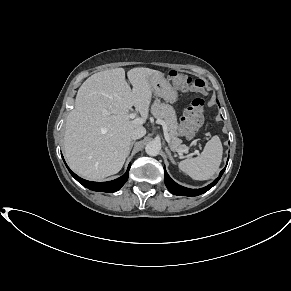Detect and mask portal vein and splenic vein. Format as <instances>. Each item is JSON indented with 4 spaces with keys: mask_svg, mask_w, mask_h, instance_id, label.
Returning <instances> with one entry per match:
<instances>
[{
    "mask_svg": "<svg viewBox=\"0 0 291 291\" xmlns=\"http://www.w3.org/2000/svg\"><path fill=\"white\" fill-rule=\"evenodd\" d=\"M136 117L135 113H131L128 115V118L130 119H134ZM157 123L162 125L163 127V131H164V137H165V140L167 141L168 145L170 146L171 150L177 152L179 155H182V153H187L188 152V147L184 148V149H178L176 148L171 140H170V137H169V133H168V127H167V124L165 123V121L161 120V119H158L157 120ZM195 154H199V152L196 150L194 151L193 153H191L190 155H195Z\"/></svg>",
    "mask_w": 291,
    "mask_h": 291,
    "instance_id": "18ae733b",
    "label": "portal vein and splenic vein"
}]
</instances>
